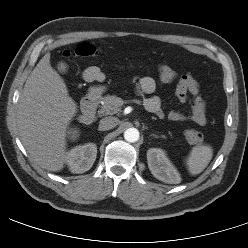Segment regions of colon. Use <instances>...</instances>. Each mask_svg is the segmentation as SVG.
I'll use <instances>...</instances> for the list:
<instances>
[{
  "label": "colon",
  "instance_id": "colon-1",
  "mask_svg": "<svg viewBox=\"0 0 248 248\" xmlns=\"http://www.w3.org/2000/svg\"><path fill=\"white\" fill-rule=\"evenodd\" d=\"M98 53L99 50L94 45L84 42L79 44L74 51H66L65 55L68 57L87 58L94 57ZM155 71L159 79L164 83L177 84L180 79L178 72L165 64L156 65ZM185 136L191 144H201L204 140L202 134L193 129L187 130Z\"/></svg>",
  "mask_w": 248,
  "mask_h": 248
}]
</instances>
